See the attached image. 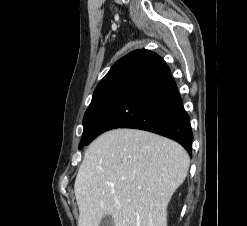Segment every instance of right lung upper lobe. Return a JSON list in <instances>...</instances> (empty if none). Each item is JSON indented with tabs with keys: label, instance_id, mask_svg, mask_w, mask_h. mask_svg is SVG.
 <instances>
[{
	"label": "right lung upper lobe",
	"instance_id": "1",
	"mask_svg": "<svg viewBox=\"0 0 247 226\" xmlns=\"http://www.w3.org/2000/svg\"><path fill=\"white\" fill-rule=\"evenodd\" d=\"M129 54L124 56L123 58L119 59L113 66L116 67V66H120V65H123L125 64L127 58H128Z\"/></svg>",
	"mask_w": 247,
	"mask_h": 226
}]
</instances>
